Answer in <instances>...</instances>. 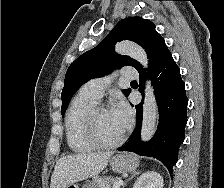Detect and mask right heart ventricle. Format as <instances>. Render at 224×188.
Wrapping results in <instances>:
<instances>
[{"instance_id": "e07e8e85", "label": "right heart ventricle", "mask_w": 224, "mask_h": 188, "mask_svg": "<svg viewBox=\"0 0 224 188\" xmlns=\"http://www.w3.org/2000/svg\"><path fill=\"white\" fill-rule=\"evenodd\" d=\"M98 100L80 90L72 100L65 117V133L69 148L76 153L91 151L95 146L85 132V121L89 111Z\"/></svg>"}]
</instances>
